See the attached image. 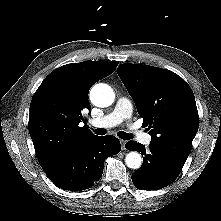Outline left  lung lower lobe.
<instances>
[{
    "instance_id": "obj_1",
    "label": "left lung lower lobe",
    "mask_w": 221,
    "mask_h": 221,
    "mask_svg": "<svg viewBox=\"0 0 221 221\" xmlns=\"http://www.w3.org/2000/svg\"><path fill=\"white\" fill-rule=\"evenodd\" d=\"M125 147L130 151H138L143 156L142 166L132 174V181L140 190H157L168 186L177 178L185 163L151 143L145 148L131 140Z\"/></svg>"
}]
</instances>
